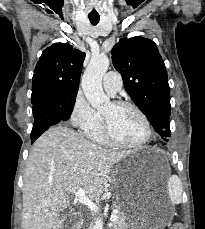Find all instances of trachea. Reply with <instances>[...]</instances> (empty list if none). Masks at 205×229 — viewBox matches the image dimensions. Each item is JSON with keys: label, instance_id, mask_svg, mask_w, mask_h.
Segmentation results:
<instances>
[{"label": "trachea", "instance_id": "3493384b", "mask_svg": "<svg viewBox=\"0 0 205 229\" xmlns=\"http://www.w3.org/2000/svg\"><path fill=\"white\" fill-rule=\"evenodd\" d=\"M89 20L93 25H96L98 24L100 20V16L99 15H89Z\"/></svg>", "mask_w": 205, "mask_h": 229}]
</instances>
